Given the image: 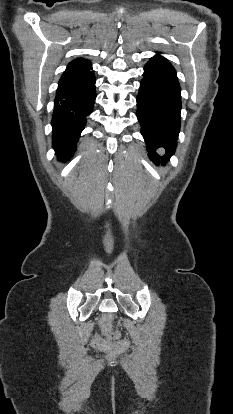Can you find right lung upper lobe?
<instances>
[{"instance_id": "1", "label": "right lung upper lobe", "mask_w": 233, "mask_h": 414, "mask_svg": "<svg viewBox=\"0 0 233 414\" xmlns=\"http://www.w3.org/2000/svg\"><path fill=\"white\" fill-rule=\"evenodd\" d=\"M91 67V63L83 58H78L69 63L66 71H79Z\"/></svg>"}]
</instances>
